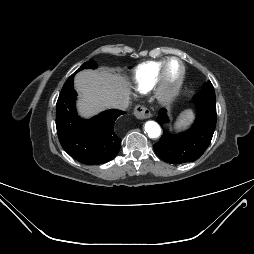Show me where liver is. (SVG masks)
Listing matches in <instances>:
<instances>
[{"mask_svg": "<svg viewBox=\"0 0 254 254\" xmlns=\"http://www.w3.org/2000/svg\"><path fill=\"white\" fill-rule=\"evenodd\" d=\"M74 82L80 97L78 110L83 117H90L110 108L115 101L129 98L130 95L125 79L107 70L81 71Z\"/></svg>", "mask_w": 254, "mask_h": 254, "instance_id": "obj_1", "label": "liver"}]
</instances>
